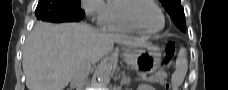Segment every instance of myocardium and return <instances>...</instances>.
<instances>
[{"instance_id": "f54148a6", "label": "myocardium", "mask_w": 228, "mask_h": 90, "mask_svg": "<svg viewBox=\"0 0 228 90\" xmlns=\"http://www.w3.org/2000/svg\"><path fill=\"white\" fill-rule=\"evenodd\" d=\"M133 3L130 4L125 11V17L128 20L129 23H131L133 26H135L137 29H139L141 32L143 33H158L161 32L166 25V18L164 15V12L162 10V8L154 1V0H132ZM143 3H150L152 4L154 7H156L158 9V11L161 14L162 17V26L157 29V30H150L145 28L140 21L138 20V18L136 17V11L139 8V6Z\"/></svg>"}]
</instances>
